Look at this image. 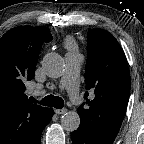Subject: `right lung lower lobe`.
Instances as JSON below:
<instances>
[{
	"mask_svg": "<svg viewBox=\"0 0 144 144\" xmlns=\"http://www.w3.org/2000/svg\"><path fill=\"white\" fill-rule=\"evenodd\" d=\"M54 111H52V113L49 116L48 121L46 122V124L41 128V130L36 134L35 138L30 142V144H40L41 141V133L44 129V127L50 122L52 116H53Z\"/></svg>",
	"mask_w": 144,
	"mask_h": 144,
	"instance_id": "right-lung-lower-lobe-1",
	"label": "right lung lower lobe"
}]
</instances>
